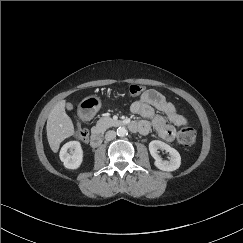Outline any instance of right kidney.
I'll return each mask as SVG.
<instances>
[{
  "label": "right kidney",
  "mask_w": 243,
  "mask_h": 243,
  "mask_svg": "<svg viewBox=\"0 0 243 243\" xmlns=\"http://www.w3.org/2000/svg\"><path fill=\"white\" fill-rule=\"evenodd\" d=\"M70 151V153H69ZM60 160L67 169H77L83 161V150L78 141H70L60 150Z\"/></svg>",
  "instance_id": "obj_1"
}]
</instances>
